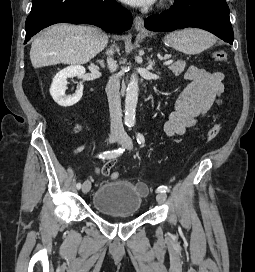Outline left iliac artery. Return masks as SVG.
I'll return each mask as SVG.
<instances>
[{
  "mask_svg": "<svg viewBox=\"0 0 255 272\" xmlns=\"http://www.w3.org/2000/svg\"><path fill=\"white\" fill-rule=\"evenodd\" d=\"M136 140L139 144H143L145 142V138L141 133H136ZM156 192H169V188L162 185L157 188Z\"/></svg>",
  "mask_w": 255,
  "mask_h": 272,
  "instance_id": "44dca946",
  "label": "left iliac artery"
}]
</instances>
